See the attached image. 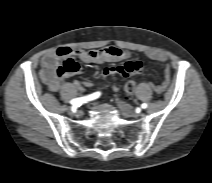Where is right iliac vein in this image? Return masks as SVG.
<instances>
[{"label":"right iliac vein","instance_id":"1","mask_svg":"<svg viewBox=\"0 0 212 183\" xmlns=\"http://www.w3.org/2000/svg\"><path fill=\"white\" fill-rule=\"evenodd\" d=\"M69 113H70V114H74V112H73L71 109L69 110Z\"/></svg>","mask_w":212,"mask_h":183}]
</instances>
